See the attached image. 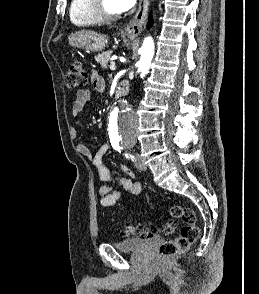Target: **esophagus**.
<instances>
[{
    "label": "esophagus",
    "instance_id": "1",
    "mask_svg": "<svg viewBox=\"0 0 259 294\" xmlns=\"http://www.w3.org/2000/svg\"><path fill=\"white\" fill-rule=\"evenodd\" d=\"M148 5H149L148 0H140L139 7L136 14L133 16V18L128 22V24L124 28V32L128 36L136 37L141 33L145 19H146Z\"/></svg>",
    "mask_w": 259,
    "mask_h": 294
}]
</instances>
